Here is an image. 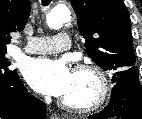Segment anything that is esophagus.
Returning <instances> with one entry per match:
<instances>
[{
  "label": "esophagus",
  "instance_id": "34e87169",
  "mask_svg": "<svg viewBox=\"0 0 142 119\" xmlns=\"http://www.w3.org/2000/svg\"><path fill=\"white\" fill-rule=\"evenodd\" d=\"M50 119H60V117L56 113H52Z\"/></svg>",
  "mask_w": 142,
  "mask_h": 119
}]
</instances>
